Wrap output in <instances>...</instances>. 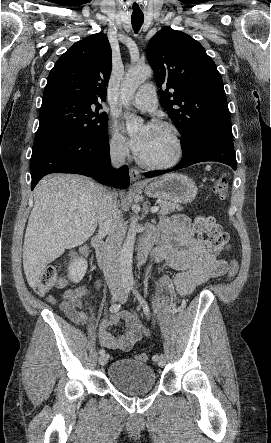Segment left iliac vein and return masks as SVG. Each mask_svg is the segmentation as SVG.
Segmentation results:
<instances>
[{
  "mask_svg": "<svg viewBox=\"0 0 271 443\" xmlns=\"http://www.w3.org/2000/svg\"><path fill=\"white\" fill-rule=\"evenodd\" d=\"M157 363H158V365H159L160 367H163V366L165 365V363H166V358H165V356H164L163 354H160Z\"/></svg>",
  "mask_w": 271,
  "mask_h": 443,
  "instance_id": "left-iliac-vein-1",
  "label": "left iliac vein"
}]
</instances>
